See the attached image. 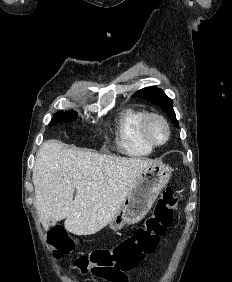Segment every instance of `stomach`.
I'll return each instance as SVG.
<instances>
[{"instance_id":"1","label":"stomach","mask_w":232,"mask_h":282,"mask_svg":"<svg viewBox=\"0 0 232 282\" xmlns=\"http://www.w3.org/2000/svg\"><path fill=\"white\" fill-rule=\"evenodd\" d=\"M173 169L165 164H153L137 176L121 207L109 222L113 231L125 224H135L148 213L160 191L168 183Z\"/></svg>"}]
</instances>
